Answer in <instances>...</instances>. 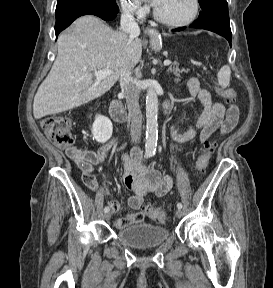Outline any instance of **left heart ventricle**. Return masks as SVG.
Instances as JSON below:
<instances>
[{
	"instance_id": "b2bd125f",
	"label": "left heart ventricle",
	"mask_w": 273,
	"mask_h": 288,
	"mask_svg": "<svg viewBox=\"0 0 273 288\" xmlns=\"http://www.w3.org/2000/svg\"><path fill=\"white\" fill-rule=\"evenodd\" d=\"M155 9L166 19L180 21L192 14L194 4L193 0H157Z\"/></svg>"
}]
</instances>
